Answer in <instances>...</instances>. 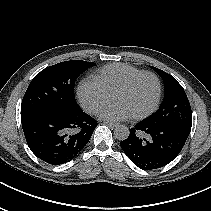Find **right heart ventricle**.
<instances>
[{
    "label": "right heart ventricle",
    "mask_w": 211,
    "mask_h": 211,
    "mask_svg": "<svg viewBox=\"0 0 211 211\" xmlns=\"http://www.w3.org/2000/svg\"><path fill=\"white\" fill-rule=\"evenodd\" d=\"M143 72L145 71L134 66L117 63L102 67L94 78L100 82L108 93L112 94L124 82Z\"/></svg>",
    "instance_id": "1"
}]
</instances>
